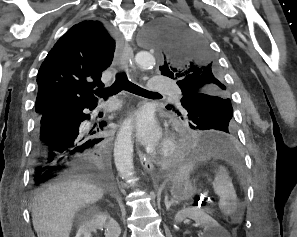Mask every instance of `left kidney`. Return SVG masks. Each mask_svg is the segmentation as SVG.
<instances>
[{
	"label": "left kidney",
	"instance_id": "5707ae66",
	"mask_svg": "<svg viewBox=\"0 0 297 237\" xmlns=\"http://www.w3.org/2000/svg\"><path fill=\"white\" fill-rule=\"evenodd\" d=\"M186 218L195 220L199 226L204 228L202 237H222V227L204 211L197 208H185L179 210L175 215V221L178 223L183 222Z\"/></svg>",
	"mask_w": 297,
	"mask_h": 237
}]
</instances>
